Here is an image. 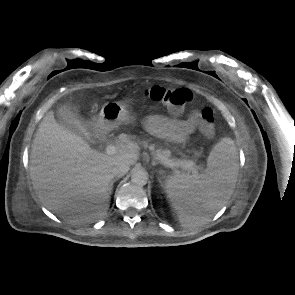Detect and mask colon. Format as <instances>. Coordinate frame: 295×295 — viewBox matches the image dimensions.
I'll return each mask as SVG.
<instances>
[{
    "mask_svg": "<svg viewBox=\"0 0 295 295\" xmlns=\"http://www.w3.org/2000/svg\"><path fill=\"white\" fill-rule=\"evenodd\" d=\"M147 99L165 105L172 113L179 114L192 98V92L185 88H167L152 86L144 91ZM215 115L212 109L204 108L200 113L199 130L210 136L214 133Z\"/></svg>",
    "mask_w": 295,
    "mask_h": 295,
    "instance_id": "obj_1",
    "label": "colon"
}]
</instances>
